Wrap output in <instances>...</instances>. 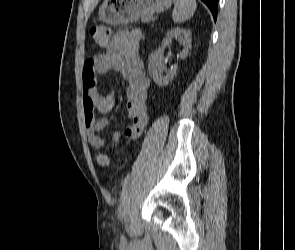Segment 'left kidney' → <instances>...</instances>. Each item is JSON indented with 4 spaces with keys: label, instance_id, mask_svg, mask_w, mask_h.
I'll return each mask as SVG.
<instances>
[{
    "label": "left kidney",
    "instance_id": "left-kidney-1",
    "mask_svg": "<svg viewBox=\"0 0 295 250\" xmlns=\"http://www.w3.org/2000/svg\"><path fill=\"white\" fill-rule=\"evenodd\" d=\"M172 39L181 41L183 45V50L179 54L181 59L187 57L191 48V32L189 30L177 27L167 32L161 47L152 52L148 58L149 74L159 86L167 85L176 75L177 68L167 70L164 65V49L171 43ZM163 73L166 74L163 75Z\"/></svg>",
    "mask_w": 295,
    "mask_h": 250
}]
</instances>
